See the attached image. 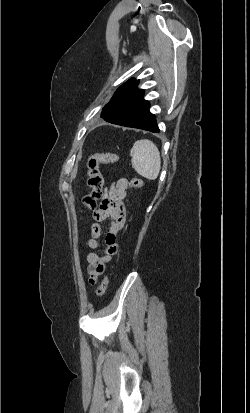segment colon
Segmentation results:
<instances>
[{
  "mask_svg": "<svg viewBox=\"0 0 250 413\" xmlns=\"http://www.w3.org/2000/svg\"><path fill=\"white\" fill-rule=\"evenodd\" d=\"M119 161V157L112 153H97L88 160V185L90 192L84 197V205L88 209H93L97 201L103 197L104 178L100 172L101 164H111ZM144 186V181L140 178H133L130 181V188L137 189ZM109 284V279L105 276L96 290L98 297H101Z\"/></svg>",
  "mask_w": 250,
  "mask_h": 413,
  "instance_id": "1",
  "label": "colon"
}]
</instances>
